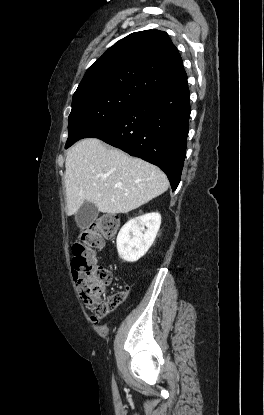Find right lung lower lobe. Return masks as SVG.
Returning a JSON list of instances; mask_svg holds the SVG:
<instances>
[{
  "label": "right lung lower lobe",
  "mask_w": 264,
  "mask_h": 415,
  "mask_svg": "<svg viewBox=\"0 0 264 415\" xmlns=\"http://www.w3.org/2000/svg\"><path fill=\"white\" fill-rule=\"evenodd\" d=\"M190 111L186 79L143 97L88 137L99 138L157 165L166 173L174 191L186 156Z\"/></svg>",
  "instance_id": "right-lung-lower-lobe-1"
}]
</instances>
